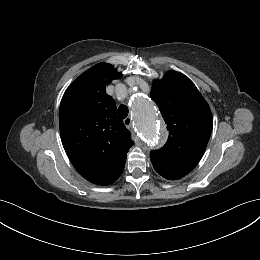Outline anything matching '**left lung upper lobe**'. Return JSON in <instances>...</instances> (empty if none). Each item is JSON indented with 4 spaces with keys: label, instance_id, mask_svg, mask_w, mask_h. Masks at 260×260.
I'll list each match as a JSON object with an SVG mask.
<instances>
[{
    "label": "left lung upper lobe",
    "instance_id": "left-lung-upper-lobe-1",
    "mask_svg": "<svg viewBox=\"0 0 260 260\" xmlns=\"http://www.w3.org/2000/svg\"><path fill=\"white\" fill-rule=\"evenodd\" d=\"M151 99L158 105L169 136L150 160L162 177L177 180L191 172L201 160L209 141L213 117L207 102L184 74L168 71L153 82Z\"/></svg>",
    "mask_w": 260,
    "mask_h": 260
}]
</instances>
